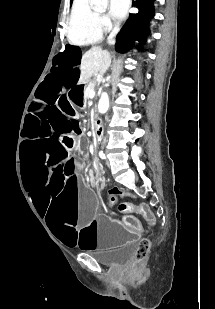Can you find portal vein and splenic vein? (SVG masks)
<instances>
[{
	"label": "portal vein and splenic vein",
	"instance_id": "portal-vein-and-splenic-vein-1",
	"mask_svg": "<svg viewBox=\"0 0 215 309\" xmlns=\"http://www.w3.org/2000/svg\"><path fill=\"white\" fill-rule=\"evenodd\" d=\"M89 96H95L94 90H89Z\"/></svg>",
	"mask_w": 215,
	"mask_h": 309
}]
</instances>
